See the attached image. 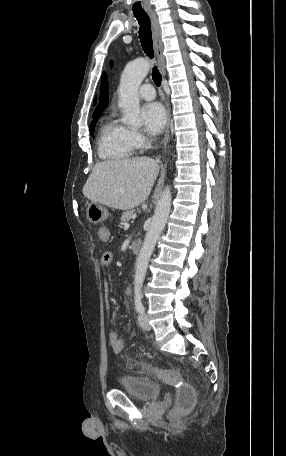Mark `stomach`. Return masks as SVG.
Here are the masks:
<instances>
[{"label":"stomach","mask_w":286,"mask_h":456,"mask_svg":"<svg viewBox=\"0 0 286 456\" xmlns=\"http://www.w3.org/2000/svg\"><path fill=\"white\" fill-rule=\"evenodd\" d=\"M87 219L93 223L98 224L108 218L109 212L99 203H90L86 210Z\"/></svg>","instance_id":"1"}]
</instances>
